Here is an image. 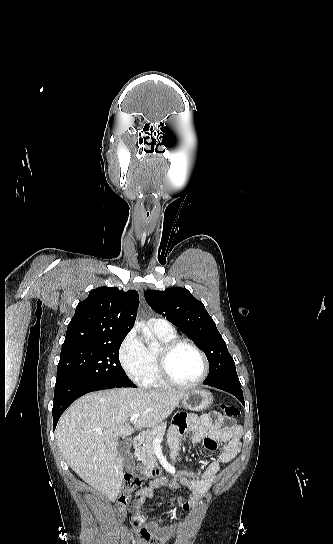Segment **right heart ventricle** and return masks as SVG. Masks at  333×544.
Here are the masks:
<instances>
[{
    "mask_svg": "<svg viewBox=\"0 0 333 544\" xmlns=\"http://www.w3.org/2000/svg\"><path fill=\"white\" fill-rule=\"evenodd\" d=\"M154 333L160 339L162 343L177 339L176 332H162L154 329ZM147 369L141 385L146 388H161L166 385L158 374L156 363V351L157 349L147 347Z\"/></svg>",
    "mask_w": 333,
    "mask_h": 544,
    "instance_id": "1",
    "label": "right heart ventricle"
}]
</instances>
